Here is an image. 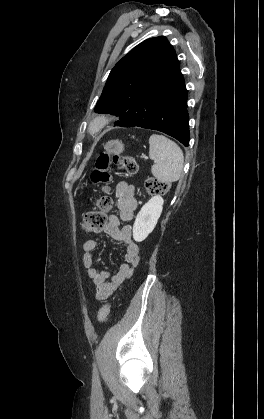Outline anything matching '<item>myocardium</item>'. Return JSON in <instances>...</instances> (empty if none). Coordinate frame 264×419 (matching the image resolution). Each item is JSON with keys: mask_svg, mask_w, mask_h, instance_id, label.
I'll return each mask as SVG.
<instances>
[{"mask_svg": "<svg viewBox=\"0 0 264 419\" xmlns=\"http://www.w3.org/2000/svg\"><path fill=\"white\" fill-rule=\"evenodd\" d=\"M112 116L109 114L97 115L88 125V132L91 136L98 135L110 122Z\"/></svg>", "mask_w": 264, "mask_h": 419, "instance_id": "myocardium-1", "label": "myocardium"}]
</instances>
